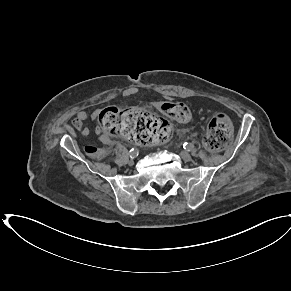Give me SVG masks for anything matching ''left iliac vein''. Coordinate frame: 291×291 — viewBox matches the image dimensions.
<instances>
[{
	"mask_svg": "<svg viewBox=\"0 0 291 291\" xmlns=\"http://www.w3.org/2000/svg\"><path fill=\"white\" fill-rule=\"evenodd\" d=\"M180 156H181V158H182L185 162H190V161L192 160L191 155H190L188 152H186V151H182V152L180 153Z\"/></svg>",
	"mask_w": 291,
	"mask_h": 291,
	"instance_id": "4c4485c4",
	"label": "left iliac vein"
}]
</instances>
